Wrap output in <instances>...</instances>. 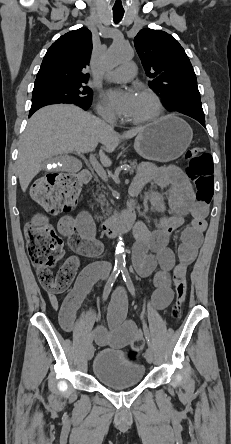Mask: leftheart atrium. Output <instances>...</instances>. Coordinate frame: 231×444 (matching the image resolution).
Wrapping results in <instances>:
<instances>
[{
  "label": "left heart atrium",
  "mask_w": 231,
  "mask_h": 444,
  "mask_svg": "<svg viewBox=\"0 0 231 444\" xmlns=\"http://www.w3.org/2000/svg\"><path fill=\"white\" fill-rule=\"evenodd\" d=\"M105 98L117 113L129 117L135 104L136 94L132 91L109 90Z\"/></svg>",
  "instance_id": "left-heart-atrium-1"
}]
</instances>
